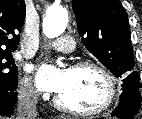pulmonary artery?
Returning <instances> with one entry per match:
<instances>
[{"label":"pulmonary artery","instance_id":"1","mask_svg":"<svg viewBox=\"0 0 142 119\" xmlns=\"http://www.w3.org/2000/svg\"><path fill=\"white\" fill-rule=\"evenodd\" d=\"M48 46L63 53H71L75 48L74 41L69 36H62L56 41L50 42Z\"/></svg>","mask_w":142,"mask_h":119}]
</instances>
